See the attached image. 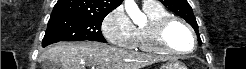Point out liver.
<instances>
[{
	"label": "liver",
	"instance_id": "1",
	"mask_svg": "<svg viewBox=\"0 0 246 69\" xmlns=\"http://www.w3.org/2000/svg\"><path fill=\"white\" fill-rule=\"evenodd\" d=\"M60 69H141L161 60L156 55L133 52L98 42H59L42 54Z\"/></svg>",
	"mask_w": 246,
	"mask_h": 69
}]
</instances>
